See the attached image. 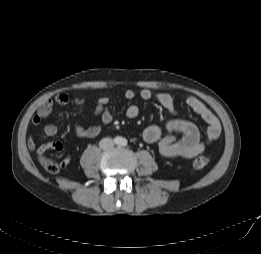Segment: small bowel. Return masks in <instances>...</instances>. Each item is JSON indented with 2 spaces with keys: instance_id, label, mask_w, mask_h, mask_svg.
I'll return each mask as SVG.
<instances>
[{
  "instance_id": "small-bowel-1",
  "label": "small bowel",
  "mask_w": 261,
  "mask_h": 254,
  "mask_svg": "<svg viewBox=\"0 0 261 254\" xmlns=\"http://www.w3.org/2000/svg\"><path fill=\"white\" fill-rule=\"evenodd\" d=\"M135 95V92L131 89L124 92V98L129 101L133 100ZM140 97L144 100H149L153 97V94L151 90L145 88L141 90ZM156 99L168 112V119L163 125H151L144 128L141 132V136L147 143H155L158 152L162 156L167 158H193L203 153L207 145H211L219 139L222 131L220 121L211 110L196 97H186L185 105L206 123L207 129L204 140L201 139L199 129L195 123L179 117L174 100L169 94L159 93L156 95ZM84 101V98H72L67 94H59L54 98L46 100L38 108L32 118V124L34 126L40 125L50 116L55 105H67L69 103L81 105ZM109 101L110 99L106 95L98 97L93 111L94 116L101 118L102 125L84 128L80 123H76L74 132L77 136L95 137L101 132L104 125L111 122L112 115L108 107ZM139 113V107L134 104L129 105L126 109V115L131 119L136 118ZM165 131L169 132V134L164 135ZM44 132L47 136H54L57 133V127L54 124H46ZM28 147L30 150H35V143L32 136L28 138ZM42 147L53 148L58 152H63L64 150L60 143H47L39 147L37 153L40 152ZM68 163L69 158H66L63 162V166H67Z\"/></svg>"
}]
</instances>
